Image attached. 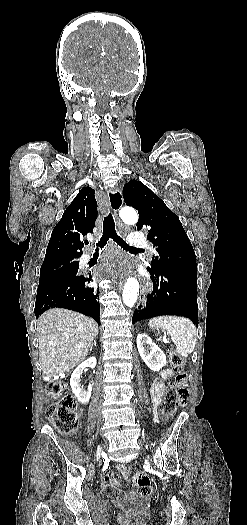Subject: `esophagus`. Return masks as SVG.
Masks as SVG:
<instances>
[{
  "label": "esophagus",
  "instance_id": "1",
  "mask_svg": "<svg viewBox=\"0 0 247 525\" xmlns=\"http://www.w3.org/2000/svg\"><path fill=\"white\" fill-rule=\"evenodd\" d=\"M107 196H108L109 206H110L111 210L115 214H117L118 211L120 210V208L123 205L122 192L117 187L116 188H112V189H110L108 191ZM129 273H137L139 285H143V282H141L142 272H141V270H138V266L131 267V270H129ZM145 304H146L145 287L141 286L137 308L139 310H141V309H143L145 307Z\"/></svg>",
  "mask_w": 247,
  "mask_h": 525
}]
</instances>
